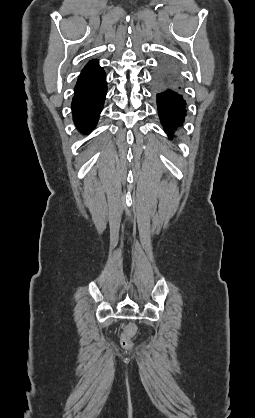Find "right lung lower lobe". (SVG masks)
<instances>
[{
    "mask_svg": "<svg viewBox=\"0 0 255 418\" xmlns=\"http://www.w3.org/2000/svg\"><path fill=\"white\" fill-rule=\"evenodd\" d=\"M107 83L104 70L91 60L77 80L72 100V113L78 130L88 134L94 129L102 111Z\"/></svg>",
    "mask_w": 255,
    "mask_h": 418,
    "instance_id": "1",
    "label": "right lung lower lobe"
}]
</instances>
